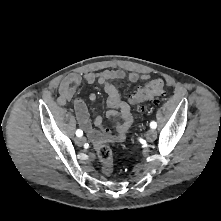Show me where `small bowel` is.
Listing matches in <instances>:
<instances>
[{"mask_svg": "<svg viewBox=\"0 0 221 221\" xmlns=\"http://www.w3.org/2000/svg\"><path fill=\"white\" fill-rule=\"evenodd\" d=\"M149 78L147 74H138L135 72H125L121 69L103 70L101 72H88L83 76L79 74H70L66 76L59 87L58 103L65 105L70 101L74 94L77 85L84 79L88 84L99 83L102 85L106 95L108 107L107 116L116 121L115 133L103 126V118L97 114L94 125L96 130L92 128L89 119V113L85 103L81 99L74 100V109L80 127L89 135L95 147H99L105 143H118L125 139L128 131L134 123V118L131 114L130 105L121 98V95L113 84L114 81L127 79L130 82L145 81ZM91 101H96L95 93L89 95Z\"/></svg>", "mask_w": 221, "mask_h": 221, "instance_id": "small-bowel-1", "label": "small bowel"}]
</instances>
